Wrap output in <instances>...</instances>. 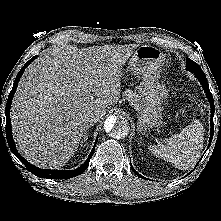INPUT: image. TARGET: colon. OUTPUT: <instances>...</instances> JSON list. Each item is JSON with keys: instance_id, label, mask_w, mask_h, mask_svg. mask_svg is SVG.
I'll use <instances>...</instances> for the list:
<instances>
[{"instance_id": "obj_1", "label": "colon", "mask_w": 221, "mask_h": 221, "mask_svg": "<svg viewBox=\"0 0 221 221\" xmlns=\"http://www.w3.org/2000/svg\"><path fill=\"white\" fill-rule=\"evenodd\" d=\"M195 103H196V105H197L199 108L202 107V103H201V101H199V100H195Z\"/></svg>"}]
</instances>
